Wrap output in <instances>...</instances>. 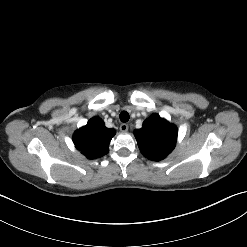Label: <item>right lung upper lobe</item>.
Returning a JSON list of instances; mask_svg holds the SVG:
<instances>
[{
	"label": "right lung upper lobe",
	"mask_w": 247,
	"mask_h": 247,
	"mask_svg": "<svg viewBox=\"0 0 247 247\" xmlns=\"http://www.w3.org/2000/svg\"><path fill=\"white\" fill-rule=\"evenodd\" d=\"M114 135V129L106 128L99 117H93L74 133L73 142L88 159H96L109 152L108 145Z\"/></svg>",
	"instance_id": "right-lung-upper-lobe-1"
}]
</instances>
